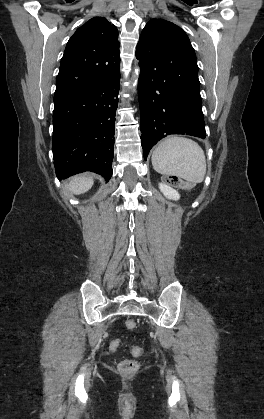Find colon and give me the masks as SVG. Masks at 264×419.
<instances>
[{"instance_id":"5ec220e1","label":"colon","mask_w":264,"mask_h":419,"mask_svg":"<svg viewBox=\"0 0 264 419\" xmlns=\"http://www.w3.org/2000/svg\"><path fill=\"white\" fill-rule=\"evenodd\" d=\"M166 181L176 187H180V188H189L190 185L183 181L182 179H180L179 177L176 176H169L166 177ZM137 326L136 322L134 320H128L126 322V327L130 330L135 329ZM121 344V342H120ZM119 344V345H120ZM131 352L134 356L138 357L141 356L143 351L141 348L137 347V346H133L131 348ZM138 368V363L137 361L133 360V359H126L122 362L119 363L118 365V370L120 373L125 374V375H129L134 373Z\"/></svg>"}]
</instances>
